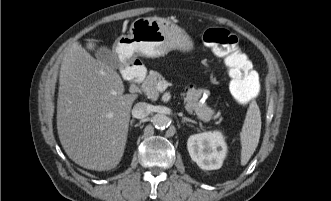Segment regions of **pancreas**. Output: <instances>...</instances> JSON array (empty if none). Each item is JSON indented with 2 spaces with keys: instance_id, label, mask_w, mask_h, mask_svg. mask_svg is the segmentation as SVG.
I'll list each match as a JSON object with an SVG mask.
<instances>
[{
  "instance_id": "obj_1",
  "label": "pancreas",
  "mask_w": 331,
  "mask_h": 201,
  "mask_svg": "<svg viewBox=\"0 0 331 201\" xmlns=\"http://www.w3.org/2000/svg\"><path fill=\"white\" fill-rule=\"evenodd\" d=\"M163 80L164 78L160 73L156 71H150L149 75L146 77V79L141 85V90L149 99L155 101L159 96L157 84ZM203 94L209 95V91L201 88L191 89L190 91H188L186 97V109L190 113H194L195 115H197L200 120L208 122L211 119L218 118L219 114H215V111L208 107L206 103L200 102V98Z\"/></svg>"
}]
</instances>
